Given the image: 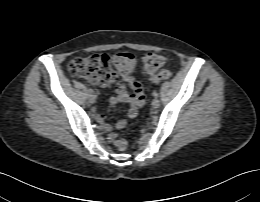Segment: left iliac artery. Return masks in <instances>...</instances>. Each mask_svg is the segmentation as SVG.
Listing matches in <instances>:
<instances>
[{
	"label": "left iliac artery",
	"mask_w": 260,
	"mask_h": 202,
	"mask_svg": "<svg viewBox=\"0 0 260 202\" xmlns=\"http://www.w3.org/2000/svg\"><path fill=\"white\" fill-rule=\"evenodd\" d=\"M153 96L155 97V98H157L158 96H159V94H158V92H153Z\"/></svg>",
	"instance_id": "44dca946"
}]
</instances>
